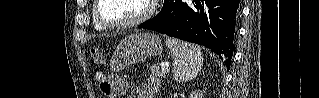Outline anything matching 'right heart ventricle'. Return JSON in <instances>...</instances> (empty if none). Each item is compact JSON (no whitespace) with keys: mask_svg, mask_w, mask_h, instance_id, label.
Returning <instances> with one entry per match:
<instances>
[{"mask_svg":"<svg viewBox=\"0 0 319 98\" xmlns=\"http://www.w3.org/2000/svg\"><path fill=\"white\" fill-rule=\"evenodd\" d=\"M93 25H94V28H95L96 30H98V31H101V30L104 29L102 26H100V25L95 21V19H94V21H93Z\"/></svg>","mask_w":319,"mask_h":98,"instance_id":"obj_1","label":"right heart ventricle"}]
</instances>
